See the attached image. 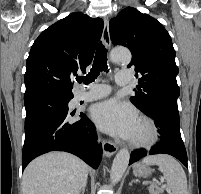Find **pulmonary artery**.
Returning a JSON list of instances; mask_svg holds the SVG:
<instances>
[{"mask_svg": "<svg viewBox=\"0 0 201 194\" xmlns=\"http://www.w3.org/2000/svg\"><path fill=\"white\" fill-rule=\"evenodd\" d=\"M130 74L127 71H119L116 74L115 81L118 85H126L130 82ZM111 88L107 84H94L87 91H78L76 94L77 101H93L109 95Z\"/></svg>", "mask_w": 201, "mask_h": 194, "instance_id": "e3ab8cb5", "label": "pulmonary artery"}]
</instances>
